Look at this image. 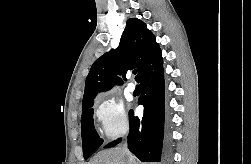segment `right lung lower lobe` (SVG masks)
Returning <instances> with one entry per match:
<instances>
[{
	"mask_svg": "<svg viewBox=\"0 0 251 164\" xmlns=\"http://www.w3.org/2000/svg\"><path fill=\"white\" fill-rule=\"evenodd\" d=\"M163 64V63H162ZM162 64L138 81L142 88L139 104L144 106L142 119L129 112L128 148L142 162H160L166 156L167 136L164 130V73ZM121 139L105 148L117 145Z\"/></svg>",
	"mask_w": 251,
	"mask_h": 164,
	"instance_id": "obj_1",
	"label": "right lung lower lobe"
}]
</instances>
